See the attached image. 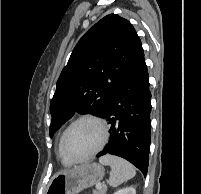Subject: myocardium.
Here are the masks:
<instances>
[{
    "instance_id": "myocardium-1",
    "label": "myocardium",
    "mask_w": 201,
    "mask_h": 194,
    "mask_svg": "<svg viewBox=\"0 0 201 194\" xmlns=\"http://www.w3.org/2000/svg\"><path fill=\"white\" fill-rule=\"evenodd\" d=\"M82 121H91V122L96 123L101 129L102 138H101L99 145L89 154H87L83 157H71L65 152V149H64L65 139H66V136H67L68 132L70 131V129L74 125H76ZM108 139H109V129H108V125H107L106 121L103 118H101L97 115H93V114L81 115L78 118L74 119L63 131V133L60 137V145H59L60 152L65 159H67L68 161H70L72 163L84 162V161H87V160L93 158L94 156H96L105 147Z\"/></svg>"
}]
</instances>
